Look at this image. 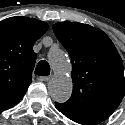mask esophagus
Instances as JSON below:
<instances>
[{"label": "esophagus", "mask_w": 125, "mask_h": 125, "mask_svg": "<svg viewBox=\"0 0 125 125\" xmlns=\"http://www.w3.org/2000/svg\"><path fill=\"white\" fill-rule=\"evenodd\" d=\"M38 79L42 82H48L51 79V77L50 76H40Z\"/></svg>", "instance_id": "esophagus-1"}]
</instances>
